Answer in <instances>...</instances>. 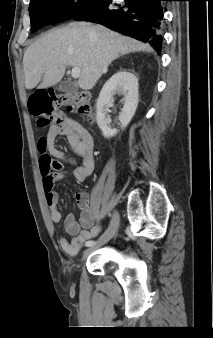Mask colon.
<instances>
[{
	"label": "colon",
	"instance_id": "colon-1",
	"mask_svg": "<svg viewBox=\"0 0 213 338\" xmlns=\"http://www.w3.org/2000/svg\"><path fill=\"white\" fill-rule=\"evenodd\" d=\"M30 113L40 126L60 125L64 122L63 108L89 117L91 111L90 97L86 93H53L51 91H34L28 101Z\"/></svg>",
	"mask_w": 213,
	"mask_h": 338
}]
</instances>
